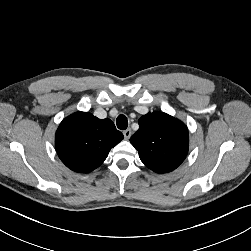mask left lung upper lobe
<instances>
[{"mask_svg": "<svg viewBox=\"0 0 251 251\" xmlns=\"http://www.w3.org/2000/svg\"><path fill=\"white\" fill-rule=\"evenodd\" d=\"M139 129L130 138L138 150L141 161L156 173L176 169L188 152V129L180 120L153 112L142 116Z\"/></svg>", "mask_w": 251, "mask_h": 251, "instance_id": "obj_1", "label": "left lung upper lobe"}]
</instances>
